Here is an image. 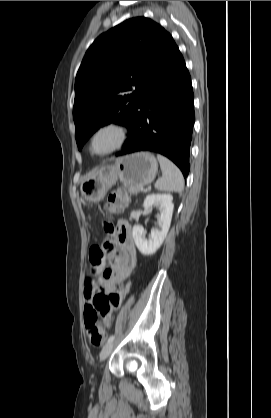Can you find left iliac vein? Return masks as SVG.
Returning a JSON list of instances; mask_svg holds the SVG:
<instances>
[{
  "instance_id": "1",
  "label": "left iliac vein",
  "mask_w": 271,
  "mask_h": 418,
  "mask_svg": "<svg viewBox=\"0 0 271 418\" xmlns=\"http://www.w3.org/2000/svg\"><path fill=\"white\" fill-rule=\"evenodd\" d=\"M114 347V343H107L100 352V360L103 361L109 357Z\"/></svg>"
}]
</instances>
